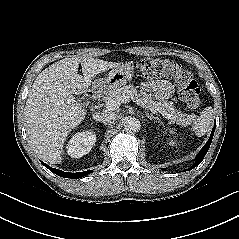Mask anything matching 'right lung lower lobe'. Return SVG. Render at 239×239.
I'll return each mask as SVG.
<instances>
[{
    "label": "right lung lower lobe",
    "instance_id": "98d812e1",
    "mask_svg": "<svg viewBox=\"0 0 239 239\" xmlns=\"http://www.w3.org/2000/svg\"><path fill=\"white\" fill-rule=\"evenodd\" d=\"M42 164L48 168L49 170H51L53 173L61 176V177H64V178H72V179H78V178H81L83 176H86L88 174H90L92 172V170H88V171H84V172H78V173H67V172H64V171H61V170H58V169H55V168H51L50 166L46 165L45 163L42 162Z\"/></svg>",
    "mask_w": 239,
    "mask_h": 239
}]
</instances>
